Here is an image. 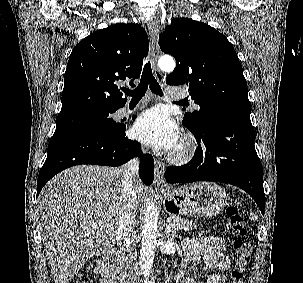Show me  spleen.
<instances>
[{"label": "spleen", "instance_id": "3e777b00", "mask_svg": "<svg viewBox=\"0 0 303 283\" xmlns=\"http://www.w3.org/2000/svg\"><path fill=\"white\" fill-rule=\"evenodd\" d=\"M250 219L251 220H257V216L251 212L250 213Z\"/></svg>", "mask_w": 303, "mask_h": 283}]
</instances>
